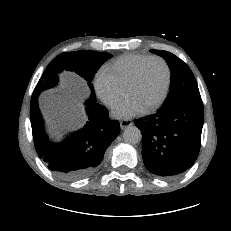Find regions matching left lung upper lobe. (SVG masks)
I'll return each instance as SVG.
<instances>
[{
  "label": "left lung upper lobe",
  "instance_id": "obj_1",
  "mask_svg": "<svg viewBox=\"0 0 231 231\" xmlns=\"http://www.w3.org/2000/svg\"><path fill=\"white\" fill-rule=\"evenodd\" d=\"M150 51L163 57L171 70L170 91L161 110H168L187 98H201L196 79L185 62L168 51Z\"/></svg>",
  "mask_w": 231,
  "mask_h": 231
}]
</instances>
